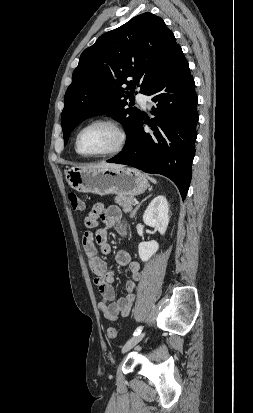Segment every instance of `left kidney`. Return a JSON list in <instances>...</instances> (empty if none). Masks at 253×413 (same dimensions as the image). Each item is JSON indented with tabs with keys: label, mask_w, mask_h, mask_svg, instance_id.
Segmentation results:
<instances>
[{
	"label": "left kidney",
	"mask_w": 253,
	"mask_h": 413,
	"mask_svg": "<svg viewBox=\"0 0 253 413\" xmlns=\"http://www.w3.org/2000/svg\"><path fill=\"white\" fill-rule=\"evenodd\" d=\"M169 205L163 195L156 196L148 205L143 214V221L146 225L155 228L161 235H164L169 223ZM159 249V244L152 240L141 242L138 245L139 257L143 262H147Z\"/></svg>",
	"instance_id": "5707ae66"
}]
</instances>
